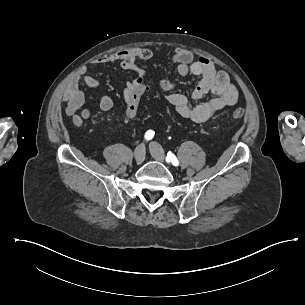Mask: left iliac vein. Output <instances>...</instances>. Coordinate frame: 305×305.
<instances>
[{
    "label": "left iliac vein",
    "mask_w": 305,
    "mask_h": 305,
    "mask_svg": "<svg viewBox=\"0 0 305 305\" xmlns=\"http://www.w3.org/2000/svg\"><path fill=\"white\" fill-rule=\"evenodd\" d=\"M149 147H150V151H151V154L154 157V159H156L159 162L164 163L165 158H164V150L162 149V147L157 143H152L149 145Z\"/></svg>",
    "instance_id": "4c4485c4"
}]
</instances>
